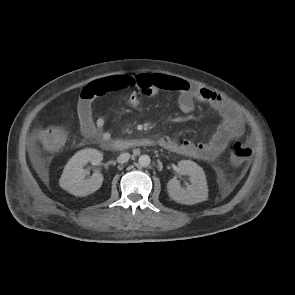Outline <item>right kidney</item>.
Wrapping results in <instances>:
<instances>
[{"mask_svg": "<svg viewBox=\"0 0 295 295\" xmlns=\"http://www.w3.org/2000/svg\"><path fill=\"white\" fill-rule=\"evenodd\" d=\"M103 160V154L98 150L86 148L78 151L66 164L59 180L62 189L75 196H87L97 191L103 182V176L95 172L89 179H85L83 167L90 162L98 165Z\"/></svg>", "mask_w": 295, "mask_h": 295, "instance_id": "obj_1", "label": "right kidney"}]
</instances>
